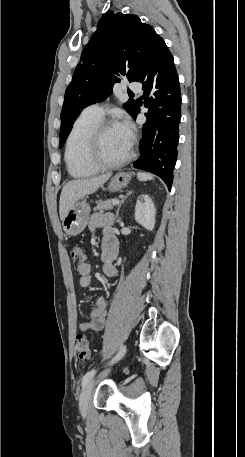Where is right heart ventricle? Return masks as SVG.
I'll list each match as a JSON object with an SVG mask.
<instances>
[{
    "instance_id": "obj_1",
    "label": "right heart ventricle",
    "mask_w": 245,
    "mask_h": 457,
    "mask_svg": "<svg viewBox=\"0 0 245 457\" xmlns=\"http://www.w3.org/2000/svg\"><path fill=\"white\" fill-rule=\"evenodd\" d=\"M99 122L100 118L81 115L71 128L66 142L65 160L68 171L74 177H84L93 173V170L81 163L80 153L87 133Z\"/></svg>"
}]
</instances>
